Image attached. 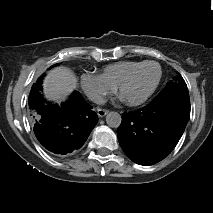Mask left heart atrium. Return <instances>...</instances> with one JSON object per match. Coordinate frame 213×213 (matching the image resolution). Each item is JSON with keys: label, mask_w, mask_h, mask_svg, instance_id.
Here are the masks:
<instances>
[{"label": "left heart atrium", "mask_w": 213, "mask_h": 213, "mask_svg": "<svg viewBox=\"0 0 213 213\" xmlns=\"http://www.w3.org/2000/svg\"><path fill=\"white\" fill-rule=\"evenodd\" d=\"M119 98H120L122 101H125V100L123 99V97H122V96H119Z\"/></svg>", "instance_id": "39dd6f15"}]
</instances>
